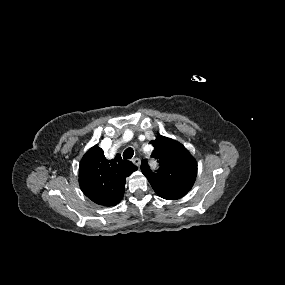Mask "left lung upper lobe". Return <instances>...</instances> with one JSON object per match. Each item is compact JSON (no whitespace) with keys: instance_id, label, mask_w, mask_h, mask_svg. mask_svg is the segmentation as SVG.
I'll return each mask as SVG.
<instances>
[{"instance_id":"1","label":"left lung upper lobe","mask_w":285,"mask_h":285,"mask_svg":"<svg viewBox=\"0 0 285 285\" xmlns=\"http://www.w3.org/2000/svg\"><path fill=\"white\" fill-rule=\"evenodd\" d=\"M152 156L159 160L157 173L151 171L147 160L141 164V171L149 180L155 192L170 191L187 193L197 175V162L179 142L164 136L151 141Z\"/></svg>"}]
</instances>
